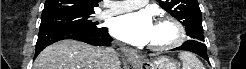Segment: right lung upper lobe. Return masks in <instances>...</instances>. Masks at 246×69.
Listing matches in <instances>:
<instances>
[{
    "label": "right lung upper lobe",
    "instance_id": "1",
    "mask_svg": "<svg viewBox=\"0 0 246 69\" xmlns=\"http://www.w3.org/2000/svg\"><path fill=\"white\" fill-rule=\"evenodd\" d=\"M97 0H46L42 17L59 14H93Z\"/></svg>",
    "mask_w": 246,
    "mask_h": 69
}]
</instances>
